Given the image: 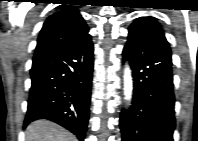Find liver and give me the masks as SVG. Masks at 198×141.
I'll list each match as a JSON object with an SVG mask.
<instances>
[{
  "mask_svg": "<svg viewBox=\"0 0 198 141\" xmlns=\"http://www.w3.org/2000/svg\"><path fill=\"white\" fill-rule=\"evenodd\" d=\"M25 139L26 141H77L69 131L48 120H37L29 124L25 131Z\"/></svg>",
  "mask_w": 198,
  "mask_h": 141,
  "instance_id": "1",
  "label": "liver"
}]
</instances>
